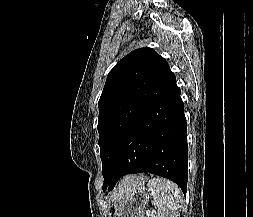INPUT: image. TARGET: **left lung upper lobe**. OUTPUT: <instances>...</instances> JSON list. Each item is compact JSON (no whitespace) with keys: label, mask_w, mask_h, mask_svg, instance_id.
Masks as SVG:
<instances>
[{"label":"left lung upper lobe","mask_w":253,"mask_h":217,"mask_svg":"<svg viewBox=\"0 0 253 217\" xmlns=\"http://www.w3.org/2000/svg\"><path fill=\"white\" fill-rule=\"evenodd\" d=\"M175 83L166 60L148 47L130 52L109 72L99 100L98 119L104 184L130 126Z\"/></svg>","instance_id":"obj_1"}]
</instances>
